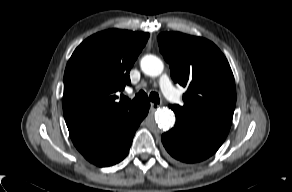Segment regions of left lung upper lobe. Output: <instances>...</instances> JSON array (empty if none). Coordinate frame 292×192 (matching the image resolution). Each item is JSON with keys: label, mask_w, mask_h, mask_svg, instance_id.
<instances>
[{"label": "left lung upper lobe", "mask_w": 292, "mask_h": 192, "mask_svg": "<svg viewBox=\"0 0 292 192\" xmlns=\"http://www.w3.org/2000/svg\"><path fill=\"white\" fill-rule=\"evenodd\" d=\"M160 52L170 64L171 77L187 86L184 105H172L176 119L230 129L236 88L230 65L211 41L179 32L158 35Z\"/></svg>", "instance_id": "5c2ea615"}]
</instances>
